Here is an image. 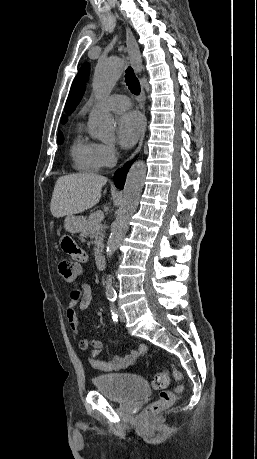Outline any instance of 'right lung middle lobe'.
Listing matches in <instances>:
<instances>
[{"mask_svg": "<svg viewBox=\"0 0 257 459\" xmlns=\"http://www.w3.org/2000/svg\"><path fill=\"white\" fill-rule=\"evenodd\" d=\"M63 139H64V137H63L62 132L58 133L57 141H58L59 144H61L63 142Z\"/></svg>", "mask_w": 257, "mask_h": 459, "instance_id": "obj_1", "label": "right lung middle lobe"}]
</instances>
